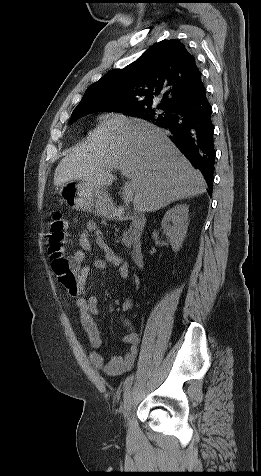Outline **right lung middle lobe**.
I'll return each mask as SVG.
<instances>
[{
    "label": "right lung middle lobe",
    "instance_id": "1",
    "mask_svg": "<svg viewBox=\"0 0 261 476\" xmlns=\"http://www.w3.org/2000/svg\"><path fill=\"white\" fill-rule=\"evenodd\" d=\"M159 109L163 111L151 109L150 105L140 106L134 109H129L125 106L108 104L84 105L74 109L71 114V123L77 120L78 118L85 116L95 110H114L117 112H122L125 115L142 118L148 121H155L157 119L161 120L162 118L167 117L172 111V108L165 107L162 105L159 106Z\"/></svg>",
    "mask_w": 261,
    "mask_h": 476
}]
</instances>
